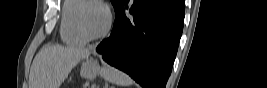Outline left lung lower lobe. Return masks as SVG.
Returning <instances> with one entry per match:
<instances>
[{
    "label": "left lung lower lobe",
    "mask_w": 267,
    "mask_h": 88,
    "mask_svg": "<svg viewBox=\"0 0 267 88\" xmlns=\"http://www.w3.org/2000/svg\"><path fill=\"white\" fill-rule=\"evenodd\" d=\"M128 2L115 12L111 35L96 52L144 88H165L183 30V1L134 0L130 9Z\"/></svg>",
    "instance_id": "0a47b994"
}]
</instances>
